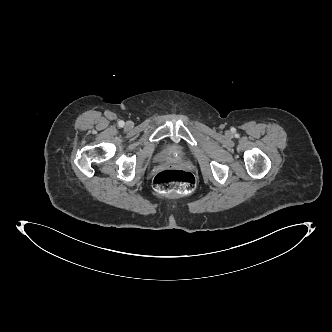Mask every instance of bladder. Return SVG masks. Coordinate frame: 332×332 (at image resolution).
<instances>
[{
  "label": "bladder",
  "mask_w": 332,
  "mask_h": 332,
  "mask_svg": "<svg viewBox=\"0 0 332 332\" xmlns=\"http://www.w3.org/2000/svg\"><path fill=\"white\" fill-rule=\"evenodd\" d=\"M186 155V150L182 145H172L167 147L161 154L160 159L166 160L171 158H183Z\"/></svg>",
  "instance_id": "1"
}]
</instances>
